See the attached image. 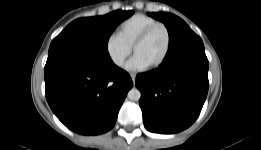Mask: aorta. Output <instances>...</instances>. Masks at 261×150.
Masks as SVG:
<instances>
[{
  "label": "aorta",
  "mask_w": 261,
  "mask_h": 150,
  "mask_svg": "<svg viewBox=\"0 0 261 150\" xmlns=\"http://www.w3.org/2000/svg\"><path fill=\"white\" fill-rule=\"evenodd\" d=\"M128 98L132 101H138L141 97V93L137 88H132L129 92H128Z\"/></svg>",
  "instance_id": "1"
}]
</instances>
